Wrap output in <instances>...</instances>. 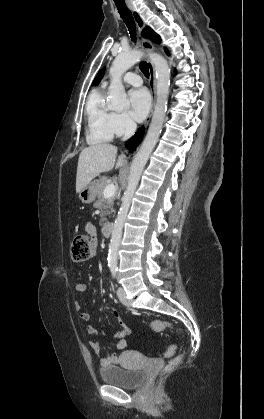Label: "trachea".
Segmentation results:
<instances>
[{"instance_id": "3493384b", "label": "trachea", "mask_w": 264, "mask_h": 419, "mask_svg": "<svg viewBox=\"0 0 264 419\" xmlns=\"http://www.w3.org/2000/svg\"><path fill=\"white\" fill-rule=\"evenodd\" d=\"M115 4H116V7L118 9V12H119L121 18L125 22L128 30L130 32V36L132 38V41L136 42V26H135V22H134L132 14H131V11L127 8V6L125 4H118V3H115ZM140 69L145 74L146 77H149V67H148L147 62H145V61L141 62Z\"/></svg>"}]
</instances>
